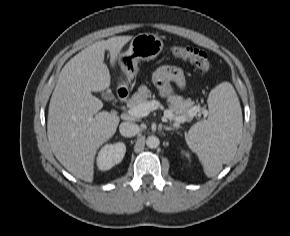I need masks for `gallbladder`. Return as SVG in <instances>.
Masks as SVG:
<instances>
[{"label": "gallbladder", "mask_w": 290, "mask_h": 236, "mask_svg": "<svg viewBox=\"0 0 290 236\" xmlns=\"http://www.w3.org/2000/svg\"><path fill=\"white\" fill-rule=\"evenodd\" d=\"M102 96L105 98V99H109L111 97V94H108V93H102Z\"/></svg>", "instance_id": "obj_1"}]
</instances>
